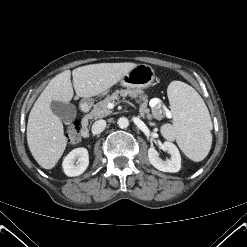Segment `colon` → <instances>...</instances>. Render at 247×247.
I'll list each match as a JSON object with an SVG mask.
<instances>
[{
    "label": "colon",
    "instance_id": "colon-1",
    "mask_svg": "<svg viewBox=\"0 0 247 247\" xmlns=\"http://www.w3.org/2000/svg\"><path fill=\"white\" fill-rule=\"evenodd\" d=\"M66 139L70 144H76L81 140L80 122L76 120L66 130Z\"/></svg>",
    "mask_w": 247,
    "mask_h": 247
}]
</instances>
